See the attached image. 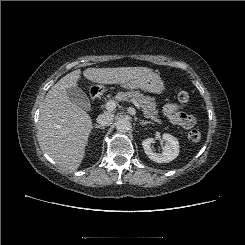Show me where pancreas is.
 <instances>
[{
  "label": "pancreas",
  "instance_id": "1",
  "mask_svg": "<svg viewBox=\"0 0 245 245\" xmlns=\"http://www.w3.org/2000/svg\"><path fill=\"white\" fill-rule=\"evenodd\" d=\"M115 99L117 101H125L127 99L136 100L140 107L142 108L144 117L151 119L154 122L162 123V121L157 117L158 110L156 109V102L154 98L150 96H145L140 91H128V92H119Z\"/></svg>",
  "mask_w": 245,
  "mask_h": 245
}]
</instances>
